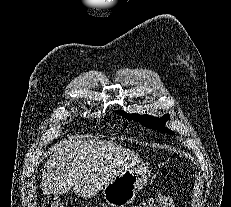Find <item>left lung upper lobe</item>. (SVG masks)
I'll use <instances>...</instances> for the list:
<instances>
[{
    "mask_svg": "<svg viewBox=\"0 0 231 207\" xmlns=\"http://www.w3.org/2000/svg\"><path fill=\"white\" fill-rule=\"evenodd\" d=\"M118 113H120L122 116H124L125 118L131 119L133 121L139 122L140 124H142L143 126H146L150 129H154V130H159V131H163L169 134H174L173 131L165 128L164 124L165 121H167L169 119V115H164L161 118H155L152 116H148V115H139V114H127L123 111H117Z\"/></svg>",
    "mask_w": 231,
    "mask_h": 207,
    "instance_id": "5c2ea615",
    "label": "left lung upper lobe"
}]
</instances>
